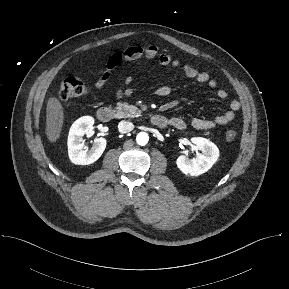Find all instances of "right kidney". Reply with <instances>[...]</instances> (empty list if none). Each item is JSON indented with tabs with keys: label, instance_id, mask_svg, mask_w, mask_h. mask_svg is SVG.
I'll use <instances>...</instances> for the list:
<instances>
[{
	"label": "right kidney",
	"instance_id": "right-kidney-1",
	"mask_svg": "<svg viewBox=\"0 0 289 289\" xmlns=\"http://www.w3.org/2000/svg\"><path fill=\"white\" fill-rule=\"evenodd\" d=\"M94 124L91 116H84L76 120L69 131L68 135V155L72 163L76 165H89L97 161L106 148V139L103 137L96 138L91 148H84V135L89 134Z\"/></svg>",
	"mask_w": 289,
	"mask_h": 289
}]
</instances>
